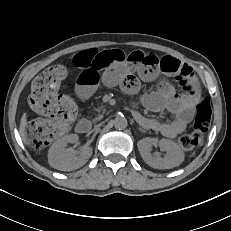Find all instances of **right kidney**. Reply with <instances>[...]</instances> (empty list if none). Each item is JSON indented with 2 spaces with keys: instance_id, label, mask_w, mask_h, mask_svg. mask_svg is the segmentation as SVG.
Instances as JSON below:
<instances>
[{
  "instance_id": "obj_1",
  "label": "right kidney",
  "mask_w": 231,
  "mask_h": 231,
  "mask_svg": "<svg viewBox=\"0 0 231 231\" xmlns=\"http://www.w3.org/2000/svg\"><path fill=\"white\" fill-rule=\"evenodd\" d=\"M78 139L77 134H69L55 141L48 151L50 166L62 171H72L82 167L91 157L92 148L83 147L79 156H76L72 148H66L68 143H76Z\"/></svg>"
}]
</instances>
